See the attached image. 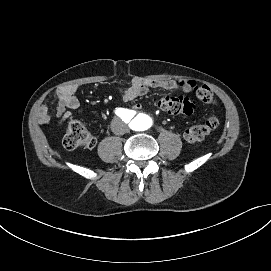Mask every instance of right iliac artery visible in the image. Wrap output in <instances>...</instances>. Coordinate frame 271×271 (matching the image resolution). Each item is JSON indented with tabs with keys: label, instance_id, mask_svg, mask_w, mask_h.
I'll use <instances>...</instances> for the list:
<instances>
[{
	"label": "right iliac artery",
	"instance_id": "right-iliac-artery-1",
	"mask_svg": "<svg viewBox=\"0 0 271 271\" xmlns=\"http://www.w3.org/2000/svg\"><path fill=\"white\" fill-rule=\"evenodd\" d=\"M126 112H127V109L116 108V114L119 115V116L125 114Z\"/></svg>",
	"mask_w": 271,
	"mask_h": 271
}]
</instances>
